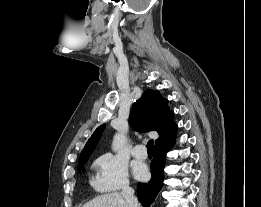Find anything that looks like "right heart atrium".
<instances>
[{
    "mask_svg": "<svg viewBox=\"0 0 261 207\" xmlns=\"http://www.w3.org/2000/svg\"><path fill=\"white\" fill-rule=\"evenodd\" d=\"M96 175L93 185L100 192H113L129 185L127 164L118 156L101 155L94 164Z\"/></svg>",
    "mask_w": 261,
    "mask_h": 207,
    "instance_id": "right-heart-atrium-1",
    "label": "right heart atrium"
}]
</instances>
